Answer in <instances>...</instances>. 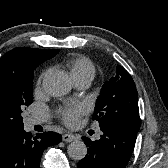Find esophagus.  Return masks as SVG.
Wrapping results in <instances>:
<instances>
[{
    "label": "esophagus",
    "mask_w": 168,
    "mask_h": 168,
    "mask_svg": "<svg viewBox=\"0 0 168 168\" xmlns=\"http://www.w3.org/2000/svg\"><path fill=\"white\" fill-rule=\"evenodd\" d=\"M75 139H76V136L70 133H65L62 136V140L65 142H72Z\"/></svg>",
    "instance_id": "esophagus-1"
}]
</instances>
